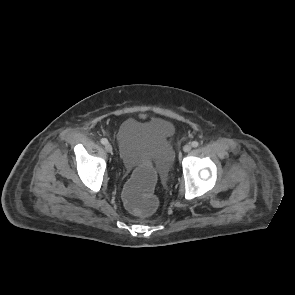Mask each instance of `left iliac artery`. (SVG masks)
<instances>
[{"mask_svg":"<svg viewBox=\"0 0 295 295\" xmlns=\"http://www.w3.org/2000/svg\"><path fill=\"white\" fill-rule=\"evenodd\" d=\"M192 147H198L199 146V143L197 141H193L191 143Z\"/></svg>","mask_w":295,"mask_h":295,"instance_id":"obj_1","label":"left iliac artery"}]
</instances>
